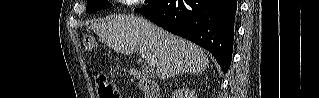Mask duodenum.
Returning a JSON list of instances; mask_svg holds the SVG:
<instances>
[{"mask_svg":"<svg viewBox=\"0 0 319 98\" xmlns=\"http://www.w3.org/2000/svg\"><path fill=\"white\" fill-rule=\"evenodd\" d=\"M129 72L131 76L140 80L142 83L146 98H160V89L156 81L150 79L134 67L130 68Z\"/></svg>","mask_w":319,"mask_h":98,"instance_id":"410a0bca","label":"duodenum"}]
</instances>
